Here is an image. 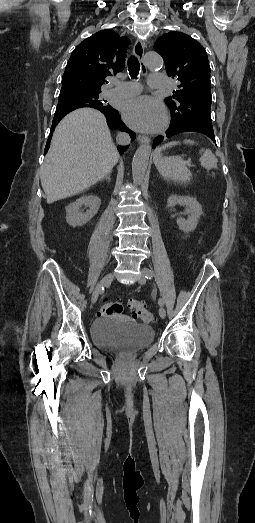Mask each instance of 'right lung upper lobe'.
<instances>
[{
    "label": "right lung upper lobe",
    "mask_w": 255,
    "mask_h": 523,
    "mask_svg": "<svg viewBox=\"0 0 255 523\" xmlns=\"http://www.w3.org/2000/svg\"><path fill=\"white\" fill-rule=\"evenodd\" d=\"M129 44L128 38L120 37L111 29L99 31L82 41L72 52L66 65L61 90L101 92V87L108 83L105 78L123 70ZM81 107L98 109L105 115L110 129L127 132L131 139L134 137V132L121 121L118 111L98 100L88 101L86 106H76L74 102H58L51 132L65 115ZM51 137L52 133L48 139ZM49 145L50 142L47 143L46 150ZM118 150L122 154L126 146H118Z\"/></svg>",
    "instance_id": "1"
}]
</instances>
